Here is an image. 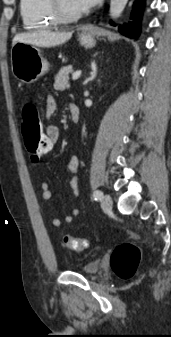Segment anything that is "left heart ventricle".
I'll return each mask as SVG.
<instances>
[{
  "label": "left heart ventricle",
  "mask_w": 171,
  "mask_h": 337,
  "mask_svg": "<svg viewBox=\"0 0 171 337\" xmlns=\"http://www.w3.org/2000/svg\"><path fill=\"white\" fill-rule=\"evenodd\" d=\"M62 4L65 7V9L71 13L82 11L76 6L73 0H62Z\"/></svg>",
  "instance_id": "obj_1"
}]
</instances>
